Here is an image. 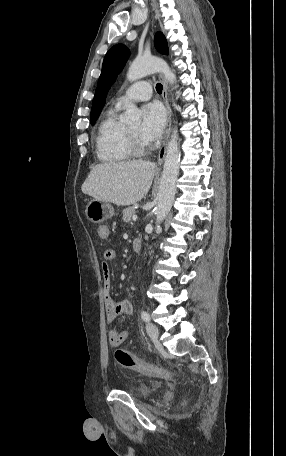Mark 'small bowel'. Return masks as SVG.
Wrapping results in <instances>:
<instances>
[{"instance_id":"c3829d8e","label":"small bowel","mask_w":286,"mask_h":456,"mask_svg":"<svg viewBox=\"0 0 286 456\" xmlns=\"http://www.w3.org/2000/svg\"><path fill=\"white\" fill-rule=\"evenodd\" d=\"M98 236L101 239H108L110 237V229L106 225H101L97 229ZM116 258V252L113 249H107L104 252L103 260L101 264V272H102V283H103V299L105 305V316L106 320L109 323H112L117 316L120 315H130L133 313V304L129 300H122L119 302H115L111 296V287H112V280H111V272L109 268V263L114 261ZM109 342L112 346H119L121 345L127 338L128 332L118 331L112 329L109 331Z\"/></svg>"}]
</instances>
